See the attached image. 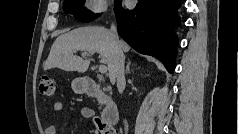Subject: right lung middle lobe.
<instances>
[{"mask_svg":"<svg viewBox=\"0 0 239 134\" xmlns=\"http://www.w3.org/2000/svg\"><path fill=\"white\" fill-rule=\"evenodd\" d=\"M119 0H116V3ZM85 0H65L63 10L67 13L73 14V16L82 22H90L95 18H98L100 14H94L91 11L84 8Z\"/></svg>","mask_w":239,"mask_h":134,"instance_id":"dd1d6c3e","label":"right lung middle lobe"}]
</instances>
